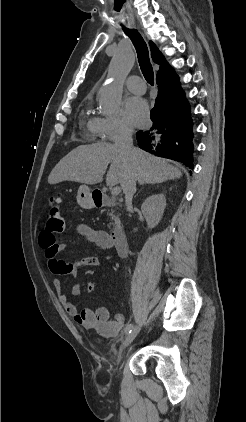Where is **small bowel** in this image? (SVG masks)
Here are the masks:
<instances>
[{
  "label": "small bowel",
  "mask_w": 246,
  "mask_h": 422,
  "mask_svg": "<svg viewBox=\"0 0 246 422\" xmlns=\"http://www.w3.org/2000/svg\"><path fill=\"white\" fill-rule=\"evenodd\" d=\"M79 237L89 243H94L103 249H109L112 246L109 235L103 231L91 228L87 225L80 224L77 227ZM39 245L44 250L45 258L49 271L53 275L52 284L57 291L58 299L64 306L65 310L75 319V321L88 329H95L107 336H116L125 325V317L123 314H116L111 319L109 311L105 307H97L95 309L84 308L78 310L68 296L62 290L60 276L71 274L76 276L77 270L83 266H99L100 260L95 256H88L75 264L67 263L58 258V254L68 250V245L56 241L55 232L47 227L39 234ZM98 287L97 282H89L87 284L88 291H94ZM80 286L75 283L72 287V294L78 295Z\"/></svg>",
  "instance_id": "1"
}]
</instances>
